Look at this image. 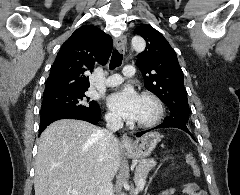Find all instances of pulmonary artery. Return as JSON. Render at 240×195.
I'll list each match as a JSON object with an SVG mask.
<instances>
[{
	"label": "pulmonary artery",
	"mask_w": 240,
	"mask_h": 195,
	"mask_svg": "<svg viewBox=\"0 0 240 195\" xmlns=\"http://www.w3.org/2000/svg\"><path fill=\"white\" fill-rule=\"evenodd\" d=\"M134 67L132 65H124L123 73L125 76H134L135 72L133 71ZM122 81L121 75H111L108 79H106L105 84L107 86H114L119 84Z\"/></svg>",
	"instance_id": "e3ab8cb5"
}]
</instances>
